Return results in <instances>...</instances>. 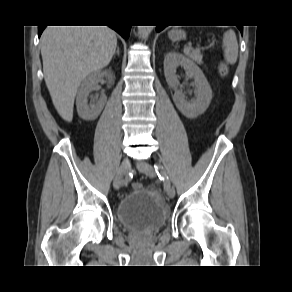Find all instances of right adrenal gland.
Returning a JSON list of instances; mask_svg holds the SVG:
<instances>
[{"instance_id":"1","label":"right adrenal gland","mask_w":292,"mask_h":292,"mask_svg":"<svg viewBox=\"0 0 292 292\" xmlns=\"http://www.w3.org/2000/svg\"><path fill=\"white\" fill-rule=\"evenodd\" d=\"M115 54H117L118 56L120 55L119 47L118 46H117V50H116Z\"/></svg>"}]
</instances>
